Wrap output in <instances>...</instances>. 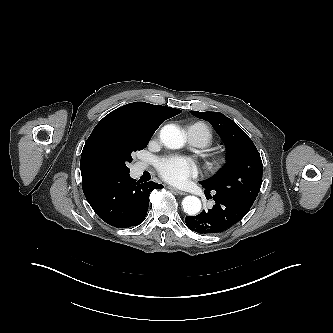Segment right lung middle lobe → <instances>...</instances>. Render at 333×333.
I'll use <instances>...</instances> for the list:
<instances>
[{
  "instance_id": "dd1d6c3e",
  "label": "right lung middle lobe",
  "mask_w": 333,
  "mask_h": 333,
  "mask_svg": "<svg viewBox=\"0 0 333 333\" xmlns=\"http://www.w3.org/2000/svg\"><path fill=\"white\" fill-rule=\"evenodd\" d=\"M152 135H142L116 124L100 127L89 145V157L102 175L129 174L132 154L144 149Z\"/></svg>"
}]
</instances>
